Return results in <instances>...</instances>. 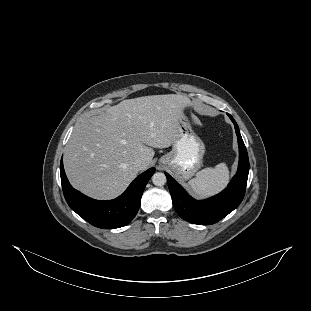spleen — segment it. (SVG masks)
Instances as JSON below:
<instances>
[{"label": "spleen", "instance_id": "obj_1", "mask_svg": "<svg viewBox=\"0 0 311 311\" xmlns=\"http://www.w3.org/2000/svg\"><path fill=\"white\" fill-rule=\"evenodd\" d=\"M229 182V169L225 163H219L214 168H204L189 180L188 186L194 196L204 198L212 196L226 187Z\"/></svg>", "mask_w": 311, "mask_h": 311}]
</instances>
